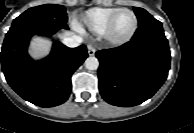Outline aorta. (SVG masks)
<instances>
[{
  "mask_svg": "<svg viewBox=\"0 0 194 133\" xmlns=\"http://www.w3.org/2000/svg\"><path fill=\"white\" fill-rule=\"evenodd\" d=\"M84 64L88 70H97L99 67V61L96 57H88Z\"/></svg>",
  "mask_w": 194,
  "mask_h": 133,
  "instance_id": "762f6f07",
  "label": "aorta"
}]
</instances>
